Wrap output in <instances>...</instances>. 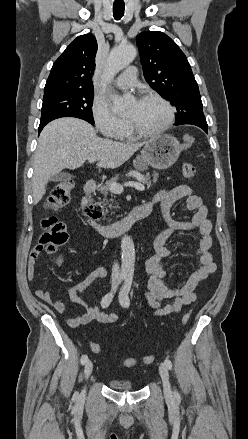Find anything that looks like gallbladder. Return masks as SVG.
Returning <instances> with one entry per match:
<instances>
[{"instance_id": "1", "label": "gallbladder", "mask_w": 248, "mask_h": 439, "mask_svg": "<svg viewBox=\"0 0 248 439\" xmlns=\"http://www.w3.org/2000/svg\"><path fill=\"white\" fill-rule=\"evenodd\" d=\"M71 177L72 176L70 174H68V173L60 172V173H58L56 175H53L50 178V181L59 182V181H64V180L71 179Z\"/></svg>"}]
</instances>
